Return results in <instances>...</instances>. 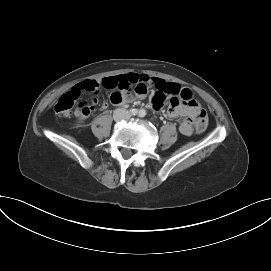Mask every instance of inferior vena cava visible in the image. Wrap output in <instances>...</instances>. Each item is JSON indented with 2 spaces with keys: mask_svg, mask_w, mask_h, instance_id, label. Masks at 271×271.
I'll use <instances>...</instances> for the list:
<instances>
[{
  "mask_svg": "<svg viewBox=\"0 0 271 271\" xmlns=\"http://www.w3.org/2000/svg\"><path fill=\"white\" fill-rule=\"evenodd\" d=\"M117 111L119 112V111H121V110H116V112H115V113H117Z\"/></svg>",
  "mask_w": 271,
  "mask_h": 271,
  "instance_id": "obj_1",
  "label": "inferior vena cava"
}]
</instances>
